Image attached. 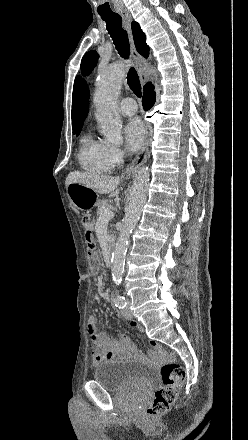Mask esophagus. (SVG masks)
Segmentation results:
<instances>
[{"mask_svg":"<svg viewBox=\"0 0 248 440\" xmlns=\"http://www.w3.org/2000/svg\"><path fill=\"white\" fill-rule=\"evenodd\" d=\"M120 15L123 19L124 27L128 32L130 51H131V55H132V58L135 63L136 70L138 72V75L140 77L141 82L145 83L148 81V74L145 69L146 63H145V59L138 53V51L136 50L135 45H134L132 31H131V21H132L131 14L129 13V11L127 9H123L120 11ZM149 141H150V134L148 133L142 149L140 150V152L138 153L136 158L127 167V169L125 171L126 178H130L131 176H133L139 170V168L142 166L144 161L146 160V157L148 155V149H149Z\"/></svg>","mask_w":248,"mask_h":440,"instance_id":"1","label":"esophagus"}]
</instances>
